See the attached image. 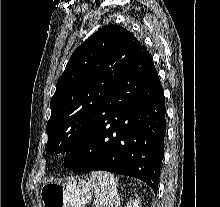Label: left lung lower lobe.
Here are the masks:
<instances>
[{"label": "left lung lower lobe", "mask_w": 220, "mask_h": 207, "mask_svg": "<svg viewBox=\"0 0 220 207\" xmlns=\"http://www.w3.org/2000/svg\"><path fill=\"white\" fill-rule=\"evenodd\" d=\"M159 76L141 45L95 119L90 133L65 159L78 172L104 170L146 182L157 193L166 132Z\"/></svg>", "instance_id": "0a47b994"}]
</instances>
